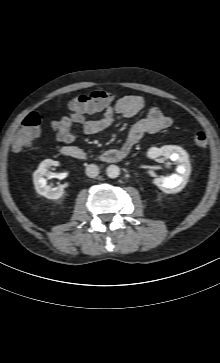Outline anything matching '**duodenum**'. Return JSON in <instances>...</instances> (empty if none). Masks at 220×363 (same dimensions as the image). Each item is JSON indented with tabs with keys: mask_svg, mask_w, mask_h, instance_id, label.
Masks as SVG:
<instances>
[{
	"mask_svg": "<svg viewBox=\"0 0 220 363\" xmlns=\"http://www.w3.org/2000/svg\"><path fill=\"white\" fill-rule=\"evenodd\" d=\"M61 153L66 157L80 161L89 159V154L85 150L73 146L62 147ZM128 153L129 149L125 148L124 146L120 149H110L101 154L100 160L105 163H117L125 159Z\"/></svg>",
	"mask_w": 220,
	"mask_h": 363,
	"instance_id": "duodenum-1",
	"label": "duodenum"
}]
</instances>
